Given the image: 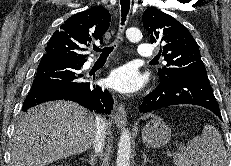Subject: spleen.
Wrapping results in <instances>:
<instances>
[{
  "mask_svg": "<svg viewBox=\"0 0 231 166\" xmlns=\"http://www.w3.org/2000/svg\"><path fill=\"white\" fill-rule=\"evenodd\" d=\"M173 155L175 166H228L227 153L222 137L212 125H205L202 134L187 145L178 147Z\"/></svg>",
  "mask_w": 231,
  "mask_h": 166,
  "instance_id": "1",
  "label": "spleen"
}]
</instances>
